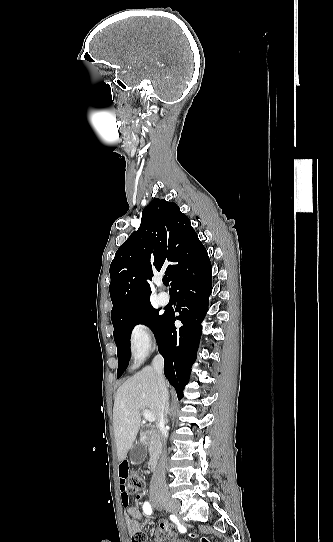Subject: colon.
Segmentation results:
<instances>
[{
    "label": "colon",
    "mask_w": 333,
    "mask_h": 542,
    "mask_svg": "<svg viewBox=\"0 0 333 542\" xmlns=\"http://www.w3.org/2000/svg\"><path fill=\"white\" fill-rule=\"evenodd\" d=\"M128 488L131 492H140L145 489V479L139 473L132 470L131 477L127 478ZM192 537L195 535L192 534ZM132 542H148V535L144 531H134L132 534ZM200 542H210V539L202 536Z\"/></svg>",
    "instance_id": "5ec220e1"
}]
</instances>
